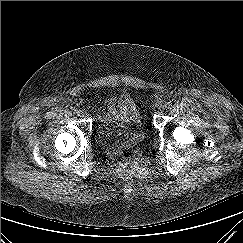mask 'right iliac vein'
I'll use <instances>...</instances> for the list:
<instances>
[{
    "mask_svg": "<svg viewBox=\"0 0 243 243\" xmlns=\"http://www.w3.org/2000/svg\"><path fill=\"white\" fill-rule=\"evenodd\" d=\"M77 115H78L79 117H84L85 112L82 111V110H79L78 113H77Z\"/></svg>",
    "mask_w": 243,
    "mask_h": 243,
    "instance_id": "1",
    "label": "right iliac vein"
}]
</instances>
